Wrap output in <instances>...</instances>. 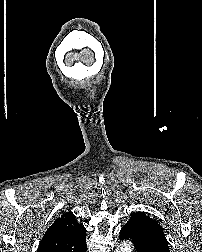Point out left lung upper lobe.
Listing matches in <instances>:
<instances>
[{
	"label": "left lung upper lobe",
	"instance_id": "obj_1",
	"mask_svg": "<svg viewBox=\"0 0 202 252\" xmlns=\"http://www.w3.org/2000/svg\"><path fill=\"white\" fill-rule=\"evenodd\" d=\"M128 222L135 223L139 225L141 228H143L144 230L148 231L150 234L155 236L154 238L160 244H162L166 249L169 250L168 242L163 233V229L156 220L146 216L144 213H134L130 217Z\"/></svg>",
	"mask_w": 202,
	"mask_h": 252
}]
</instances>
